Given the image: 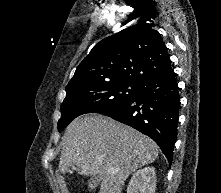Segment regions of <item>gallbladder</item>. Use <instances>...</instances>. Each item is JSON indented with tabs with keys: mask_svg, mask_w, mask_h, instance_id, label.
I'll return each instance as SVG.
<instances>
[{
	"mask_svg": "<svg viewBox=\"0 0 221 193\" xmlns=\"http://www.w3.org/2000/svg\"><path fill=\"white\" fill-rule=\"evenodd\" d=\"M100 183V180L98 177L93 176L90 180H89V188L90 189H94L98 186V184Z\"/></svg>",
	"mask_w": 221,
	"mask_h": 193,
	"instance_id": "1",
	"label": "gallbladder"
}]
</instances>
